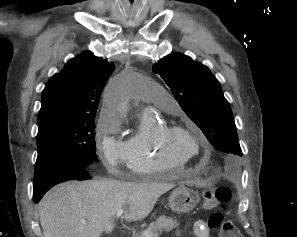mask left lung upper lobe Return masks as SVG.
I'll list each match as a JSON object with an SVG mask.
<instances>
[{
    "mask_svg": "<svg viewBox=\"0 0 297 237\" xmlns=\"http://www.w3.org/2000/svg\"><path fill=\"white\" fill-rule=\"evenodd\" d=\"M152 70L162 77L181 108L214 148L229 160L242 156L230 105L219 81L206 66L174 53L154 64Z\"/></svg>",
    "mask_w": 297,
    "mask_h": 237,
    "instance_id": "obj_1",
    "label": "left lung upper lobe"
}]
</instances>
